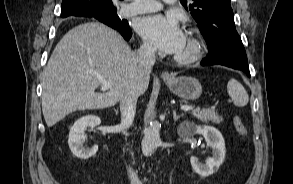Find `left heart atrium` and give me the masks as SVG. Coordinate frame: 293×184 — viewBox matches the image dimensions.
Segmentation results:
<instances>
[{"label": "left heart atrium", "instance_id": "1", "mask_svg": "<svg viewBox=\"0 0 293 184\" xmlns=\"http://www.w3.org/2000/svg\"><path fill=\"white\" fill-rule=\"evenodd\" d=\"M139 34L151 45L168 54H175L184 41V33L174 17L151 15L140 19Z\"/></svg>", "mask_w": 293, "mask_h": 184}]
</instances>
